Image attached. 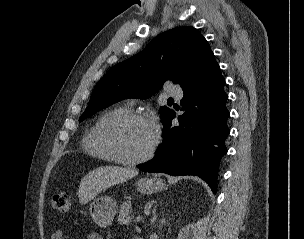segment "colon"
<instances>
[{"label": "colon", "mask_w": 304, "mask_h": 239, "mask_svg": "<svg viewBox=\"0 0 304 239\" xmlns=\"http://www.w3.org/2000/svg\"><path fill=\"white\" fill-rule=\"evenodd\" d=\"M72 197L67 192L54 194L51 197V206L59 212H68L71 208Z\"/></svg>", "instance_id": "colon-1"}]
</instances>
